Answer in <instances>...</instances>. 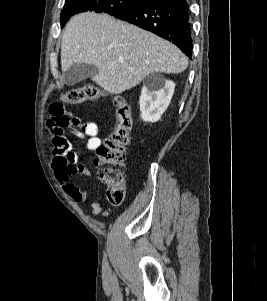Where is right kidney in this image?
I'll return each mask as SVG.
<instances>
[{"mask_svg":"<svg viewBox=\"0 0 267 301\" xmlns=\"http://www.w3.org/2000/svg\"><path fill=\"white\" fill-rule=\"evenodd\" d=\"M175 83L166 80L159 85L144 86L139 99L141 118L145 122H157L168 108Z\"/></svg>","mask_w":267,"mask_h":301,"instance_id":"obj_1","label":"right kidney"}]
</instances>
